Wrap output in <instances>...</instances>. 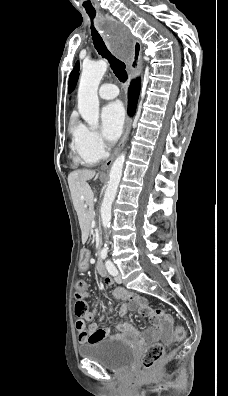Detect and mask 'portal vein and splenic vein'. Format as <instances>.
<instances>
[{"label":"portal vein and splenic vein","mask_w":228,"mask_h":396,"mask_svg":"<svg viewBox=\"0 0 228 396\" xmlns=\"http://www.w3.org/2000/svg\"><path fill=\"white\" fill-rule=\"evenodd\" d=\"M94 226H95V221L92 222V227H94Z\"/></svg>","instance_id":"obj_1"}]
</instances>
